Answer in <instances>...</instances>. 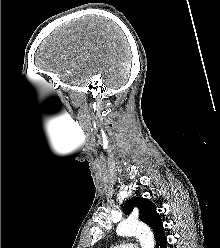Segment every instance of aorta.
Listing matches in <instances>:
<instances>
[{
	"mask_svg": "<svg viewBox=\"0 0 220 248\" xmlns=\"http://www.w3.org/2000/svg\"><path fill=\"white\" fill-rule=\"evenodd\" d=\"M117 235L136 236L140 241L141 248H155V240L150 228L138 221L126 219L122 221L116 229Z\"/></svg>",
	"mask_w": 220,
	"mask_h": 248,
	"instance_id": "obj_1",
	"label": "aorta"
}]
</instances>
